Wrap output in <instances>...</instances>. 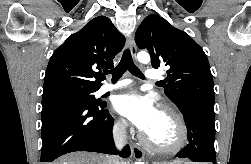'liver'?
Wrapping results in <instances>:
<instances>
[{
    "label": "liver",
    "instance_id": "liver-1",
    "mask_svg": "<svg viewBox=\"0 0 251 164\" xmlns=\"http://www.w3.org/2000/svg\"><path fill=\"white\" fill-rule=\"evenodd\" d=\"M174 163H181V161H174ZM53 164H110V157L97 153L76 152L59 158Z\"/></svg>",
    "mask_w": 251,
    "mask_h": 164
}]
</instances>
